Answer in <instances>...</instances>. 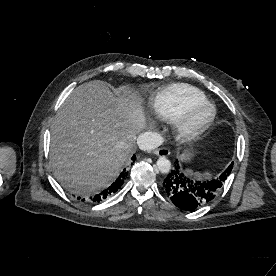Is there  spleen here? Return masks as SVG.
Instances as JSON below:
<instances>
[{"mask_svg": "<svg viewBox=\"0 0 276 276\" xmlns=\"http://www.w3.org/2000/svg\"><path fill=\"white\" fill-rule=\"evenodd\" d=\"M200 177H201V175H199ZM205 178H209L210 177V175L208 174V173H206V174H204L203 175Z\"/></svg>", "mask_w": 276, "mask_h": 276, "instance_id": "1", "label": "spleen"}]
</instances>
